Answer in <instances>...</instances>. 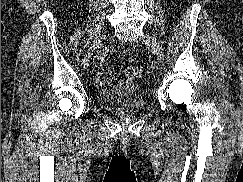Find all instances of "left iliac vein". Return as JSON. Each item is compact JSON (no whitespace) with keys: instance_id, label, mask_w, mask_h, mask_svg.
<instances>
[{"instance_id":"obj_1","label":"left iliac vein","mask_w":243,"mask_h":182,"mask_svg":"<svg viewBox=\"0 0 243 182\" xmlns=\"http://www.w3.org/2000/svg\"><path fill=\"white\" fill-rule=\"evenodd\" d=\"M141 40H142V42H144L152 47V49L154 50V53L157 57L158 62L161 63L164 59V52H163V48H162L160 42L158 41V39L152 35H144L141 38Z\"/></svg>"}]
</instances>
